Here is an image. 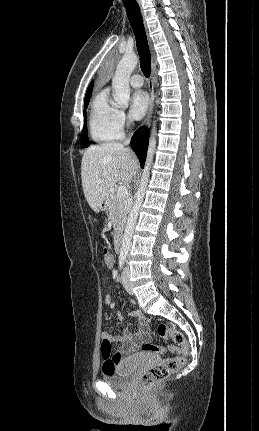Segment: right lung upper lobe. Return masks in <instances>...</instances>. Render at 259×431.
I'll use <instances>...</instances> for the list:
<instances>
[{
	"label": "right lung upper lobe",
	"instance_id": "obj_1",
	"mask_svg": "<svg viewBox=\"0 0 259 431\" xmlns=\"http://www.w3.org/2000/svg\"><path fill=\"white\" fill-rule=\"evenodd\" d=\"M92 89H93V82L89 85L86 94L92 92Z\"/></svg>",
	"mask_w": 259,
	"mask_h": 431
}]
</instances>
